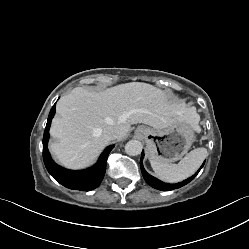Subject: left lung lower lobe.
<instances>
[{
	"instance_id": "1",
	"label": "left lung lower lobe",
	"mask_w": 249,
	"mask_h": 249,
	"mask_svg": "<svg viewBox=\"0 0 249 249\" xmlns=\"http://www.w3.org/2000/svg\"><path fill=\"white\" fill-rule=\"evenodd\" d=\"M143 157H144V152H142L141 160H140V166H141V171H142L143 177H144L145 181L150 186H152L153 188L159 189V190H174V189L180 188V187L188 184L190 181H192L195 178V176L199 173V171L201 170V168L203 167V165L205 163L204 162L202 164V166L200 167V169L192 177L184 180L183 182L177 183V184H168V183H164V182L158 180L157 178L151 176L150 174H148L145 171V169L143 167V164H142Z\"/></svg>"
}]
</instances>
